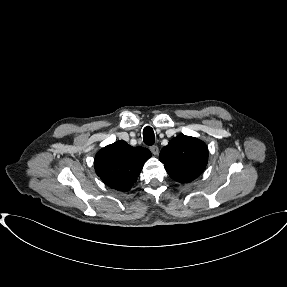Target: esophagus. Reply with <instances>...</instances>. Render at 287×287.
Instances as JSON below:
<instances>
[{
    "mask_svg": "<svg viewBox=\"0 0 287 287\" xmlns=\"http://www.w3.org/2000/svg\"><path fill=\"white\" fill-rule=\"evenodd\" d=\"M150 151L152 152L153 155H157L159 152V148L156 145L150 146Z\"/></svg>",
    "mask_w": 287,
    "mask_h": 287,
    "instance_id": "34e87169",
    "label": "esophagus"
}]
</instances>
